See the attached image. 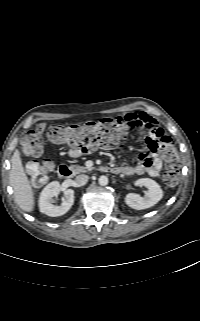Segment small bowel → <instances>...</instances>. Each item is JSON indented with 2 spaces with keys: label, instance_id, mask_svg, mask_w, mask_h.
I'll return each instance as SVG.
<instances>
[{
  "label": "small bowel",
  "instance_id": "obj_1",
  "mask_svg": "<svg viewBox=\"0 0 200 321\" xmlns=\"http://www.w3.org/2000/svg\"><path fill=\"white\" fill-rule=\"evenodd\" d=\"M121 118L137 126L138 129L147 131V137L145 138L147 151L139 154L136 165L118 166L119 173L128 176L144 174L152 177L157 176L162 169L165 153L172 146L171 138L146 113L130 112Z\"/></svg>",
  "mask_w": 200,
  "mask_h": 321
}]
</instances>
